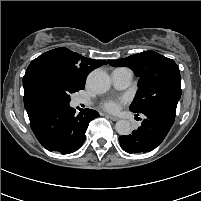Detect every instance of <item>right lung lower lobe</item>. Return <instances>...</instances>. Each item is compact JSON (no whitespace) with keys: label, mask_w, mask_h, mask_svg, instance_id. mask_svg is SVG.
Wrapping results in <instances>:
<instances>
[{"label":"right lung lower lobe","mask_w":201,"mask_h":201,"mask_svg":"<svg viewBox=\"0 0 201 201\" xmlns=\"http://www.w3.org/2000/svg\"><path fill=\"white\" fill-rule=\"evenodd\" d=\"M24 106L41 145L62 154L72 153L82 146L89 122L99 116L92 109H84L77 115L69 102L37 90L24 94Z\"/></svg>","instance_id":"obj_1"}]
</instances>
